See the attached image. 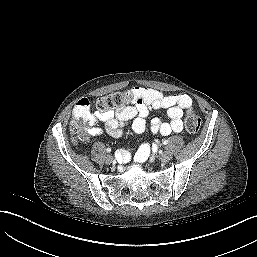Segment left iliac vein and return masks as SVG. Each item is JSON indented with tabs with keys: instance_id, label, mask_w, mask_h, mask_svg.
I'll use <instances>...</instances> for the list:
<instances>
[{
	"instance_id": "4c4485c4",
	"label": "left iliac vein",
	"mask_w": 257,
	"mask_h": 257,
	"mask_svg": "<svg viewBox=\"0 0 257 257\" xmlns=\"http://www.w3.org/2000/svg\"><path fill=\"white\" fill-rule=\"evenodd\" d=\"M159 158L163 162H168L172 158V153L169 150H166L159 155Z\"/></svg>"
}]
</instances>
